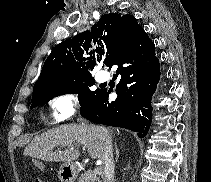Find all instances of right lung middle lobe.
I'll list each match as a JSON object with an SVG mask.
<instances>
[{"mask_svg": "<svg viewBox=\"0 0 211 182\" xmlns=\"http://www.w3.org/2000/svg\"><path fill=\"white\" fill-rule=\"evenodd\" d=\"M94 84V79L91 75H88L69 82H61L45 86L33 94L31 108L40 104H46L54 97L70 93H78V99L82 106L98 91V89L95 91L91 90V87Z\"/></svg>", "mask_w": 211, "mask_h": 182, "instance_id": "1", "label": "right lung middle lobe"}]
</instances>
